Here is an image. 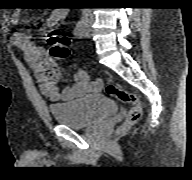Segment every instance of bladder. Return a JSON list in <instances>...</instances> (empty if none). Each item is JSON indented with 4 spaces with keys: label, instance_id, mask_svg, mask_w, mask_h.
<instances>
[{
    "label": "bladder",
    "instance_id": "obj_1",
    "mask_svg": "<svg viewBox=\"0 0 192 180\" xmlns=\"http://www.w3.org/2000/svg\"><path fill=\"white\" fill-rule=\"evenodd\" d=\"M53 118L62 125L79 129L103 120L117 111L116 104L102 94L49 105Z\"/></svg>",
    "mask_w": 192,
    "mask_h": 180
}]
</instances>
